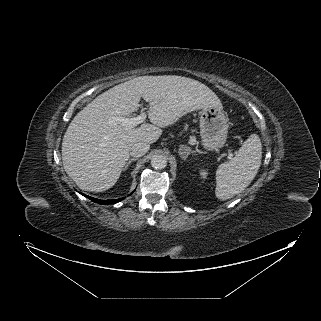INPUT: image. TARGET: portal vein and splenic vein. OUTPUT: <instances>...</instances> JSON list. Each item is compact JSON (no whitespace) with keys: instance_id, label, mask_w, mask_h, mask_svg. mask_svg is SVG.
Wrapping results in <instances>:
<instances>
[{"instance_id":"1","label":"portal vein and splenic vein","mask_w":321,"mask_h":321,"mask_svg":"<svg viewBox=\"0 0 321 321\" xmlns=\"http://www.w3.org/2000/svg\"><path fill=\"white\" fill-rule=\"evenodd\" d=\"M146 119V114L142 113L138 115L137 117L133 118H125V117H114L112 118V121L114 123L121 124L122 126L128 127V128H133L137 126L138 124L144 122Z\"/></svg>"}]
</instances>
